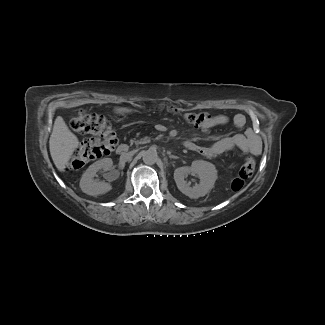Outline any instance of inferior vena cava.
<instances>
[{"instance_id": "inferior-vena-cava-1", "label": "inferior vena cava", "mask_w": 325, "mask_h": 325, "mask_svg": "<svg viewBox=\"0 0 325 325\" xmlns=\"http://www.w3.org/2000/svg\"><path fill=\"white\" fill-rule=\"evenodd\" d=\"M131 156L132 155L130 153H127V154L123 155L121 159L126 161V160H129L131 158Z\"/></svg>"}]
</instances>
